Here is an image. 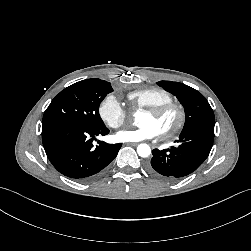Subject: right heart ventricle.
Returning <instances> with one entry per match:
<instances>
[{
	"mask_svg": "<svg viewBox=\"0 0 251 251\" xmlns=\"http://www.w3.org/2000/svg\"><path fill=\"white\" fill-rule=\"evenodd\" d=\"M127 98L133 109L150 108L173 101V96L165 89L152 87L128 93Z\"/></svg>",
	"mask_w": 251,
	"mask_h": 251,
	"instance_id": "e07e8e85",
	"label": "right heart ventricle"
}]
</instances>
